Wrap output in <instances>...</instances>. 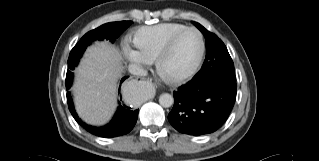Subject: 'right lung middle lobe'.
Instances as JSON below:
<instances>
[{"mask_svg":"<svg viewBox=\"0 0 319 161\" xmlns=\"http://www.w3.org/2000/svg\"><path fill=\"white\" fill-rule=\"evenodd\" d=\"M132 24V21L112 22L101 25L100 27L86 33L81 40L71 50L68 58V70L66 75V83L71 84L73 79V70L77 66L80 57L86 47L95 40L107 39L114 42L120 34Z\"/></svg>","mask_w":319,"mask_h":161,"instance_id":"1","label":"right lung middle lobe"}]
</instances>
